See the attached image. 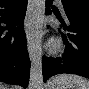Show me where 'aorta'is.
I'll list each match as a JSON object with an SVG mask.
<instances>
[{
  "mask_svg": "<svg viewBox=\"0 0 89 89\" xmlns=\"http://www.w3.org/2000/svg\"><path fill=\"white\" fill-rule=\"evenodd\" d=\"M36 4V33L31 49V69L29 89H43L42 72V29L45 19V0H35Z\"/></svg>",
  "mask_w": 89,
  "mask_h": 89,
  "instance_id": "762f6f07",
  "label": "aorta"
}]
</instances>
